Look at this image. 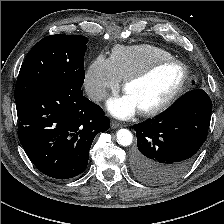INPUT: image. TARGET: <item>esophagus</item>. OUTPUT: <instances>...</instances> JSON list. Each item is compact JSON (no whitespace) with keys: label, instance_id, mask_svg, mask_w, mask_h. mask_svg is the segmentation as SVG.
<instances>
[{"label":"esophagus","instance_id":"34e87169","mask_svg":"<svg viewBox=\"0 0 224 224\" xmlns=\"http://www.w3.org/2000/svg\"><path fill=\"white\" fill-rule=\"evenodd\" d=\"M121 126H122V124L119 123V122H116V121L111 122V128L112 129L120 128Z\"/></svg>","mask_w":224,"mask_h":224}]
</instances>
